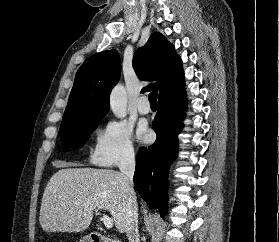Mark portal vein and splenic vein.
I'll list each match as a JSON object with an SVG mask.
<instances>
[{
    "instance_id": "18ae733b",
    "label": "portal vein and splenic vein",
    "mask_w": 279,
    "mask_h": 242,
    "mask_svg": "<svg viewBox=\"0 0 279 242\" xmlns=\"http://www.w3.org/2000/svg\"><path fill=\"white\" fill-rule=\"evenodd\" d=\"M102 221L104 226L107 229H111L113 227V219H111L110 217H108L107 215H103L102 217Z\"/></svg>"
}]
</instances>
